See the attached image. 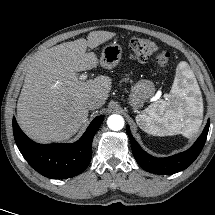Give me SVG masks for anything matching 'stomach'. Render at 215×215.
Listing matches in <instances>:
<instances>
[{"label": "stomach", "instance_id": "stomach-1", "mask_svg": "<svg viewBox=\"0 0 215 215\" xmlns=\"http://www.w3.org/2000/svg\"><path fill=\"white\" fill-rule=\"evenodd\" d=\"M121 56L122 47L117 43H111L103 48L99 61L100 65L103 68L112 69L119 63ZM154 93V83L148 79H141L132 88L129 96L130 105L134 109L140 108Z\"/></svg>", "mask_w": 215, "mask_h": 215}]
</instances>
